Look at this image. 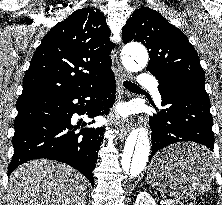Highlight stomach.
Segmentation results:
<instances>
[{"label":"stomach","instance_id":"0dacf381","mask_svg":"<svg viewBox=\"0 0 222 205\" xmlns=\"http://www.w3.org/2000/svg\"><path fill=\"white\" fill-rule=\"evenodd\" d=\"M203 151V146L184 143L159 152L147 168L149 184L161 193L182 199H194L203 194L214 175L212 165L184 161L189 153Z\"/></svg>","mask_w":222,"mask_h":205}]
</instances>
